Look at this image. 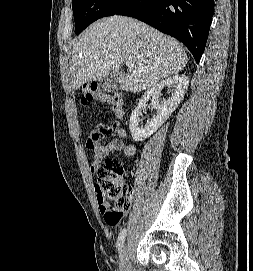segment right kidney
Wrapping results in <instances>:
<instances>
[{
  "mask_svg": "<svg viewBox=\"0 0 253 271\" xmlns=\"http://www.w3.org/2000/svg\"><path fill=\"white\" fill-rule=\"evenodd\" d=\"M189 85V79L185 75H173L168 77L156 85L149 88L140 99L138 106L130 116L129 129L132 138L135 141H143L150 137L156 130L161 127L169 116L175 111L184 98ZM164 87L174 88L171 97L167 100L159 102V96ZM153 97L155 99L154 108L157 115L145 127H139V116L146 109L147 102Z\"/></svg>",
  "mask_w": 253,
  "mask_h": 271,
  "instance_id": "1",
  "label": "right kidney"
}]
</instances>
